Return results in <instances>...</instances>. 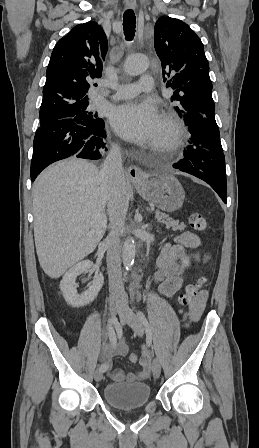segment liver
Masks as SVG:
<instances>
[{"mask_svg":"<svg viewBox=\"0 0 259 448\" xmlns=\"http://www.w3.org/2000/svg\"><path fill=\"white\" fill-rule=\"evenodd\" d=\"M32 194L39 264L49 278H60L102 240L107 192L94 164L67 158L41 172Z\"/></svg>","mask_w":259,"mask_h":448,"instance_id":"1","label":"liver"}]
</instances>
